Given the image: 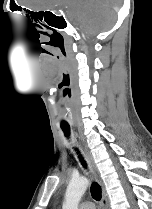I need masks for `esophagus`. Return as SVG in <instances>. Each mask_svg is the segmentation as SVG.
<instances>
[{"instance_id":"1","label":"esophagus","mask_w":152,"mask_h":209,"mask_svg":"<svg viewBox=\"0 0 152 209\" xmlns=\"http://www.w3.org/2000/svg\"><path fill=\"white\" fill-rule=\"evenodd\" d=\"M81 150H82V153L87 161L88 167H89L92 175L94 176L96 181L101 186L103 209H109V202H108L105 186H104V183L101 179V176H100V173L97 169V166L94 162L93 156H92L90 150L88 149V147L84 143L81 144Z\"/></svg>"}]
</instances>
